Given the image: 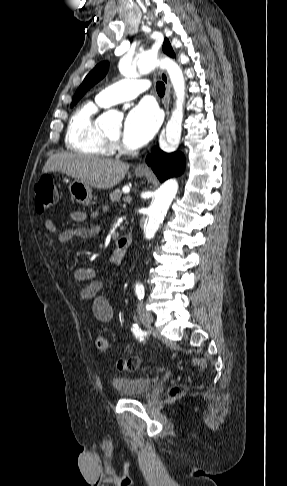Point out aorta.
Listing matches in <instances>:
<instances>
[{
    "instance_id": "1",
    "label": "aorta",
    "mask_w": 287,
    "mask_h": 486,
    "mask_svg": "<svg viewBox=\"0 0 287 486\" xmlns=\"http://www.w3.org/2000/svg\"><path fill=\"white\" fill-rule=\"evenodd\" d=\"M156 67L163 68L167 71L176 95L175 109L166 125V139L162 145L166 149H173L178 146L181 139L183 106L185 103V80L181 68L171 58L159 57L157 54L151 52L139 58L137 67L127 57H123L118 65L120 73L126 77L137 73V68L138 71L147 72ZM98 121L103 127H113L119 123L118 116L113 111L102 114ZM177 188L178 185L174 180H168L158 189L154 201L149 207L144 225L143 234L145 239L150 240L155 236L176 195Z\"/></svg>"
}]
</instances>
